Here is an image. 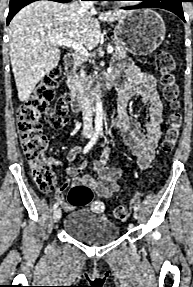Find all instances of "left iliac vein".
Instances as JSON below:
<instances>
[{
  "label": "left iliac vein",
  "mask_w": 193,
  "mask_h": 287,
  "mask_svg": "<svg viewBox=\"0 0 193 287\" xmlns=\"http://www.w3.org/2000/svg\"><path fill=\"white\" fill-rule=\"evenodd\" d=\"M133 216H134V218H135V219H137V218H138L137 211H134V212H133Z\"/></svg>",
  "instance_id": "1"
}]
</instances>
